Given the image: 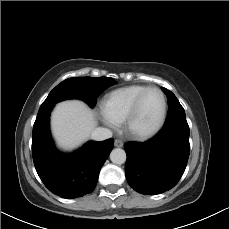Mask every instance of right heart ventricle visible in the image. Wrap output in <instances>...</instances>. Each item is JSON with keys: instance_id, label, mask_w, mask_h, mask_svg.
Returning <instances> with one entry per match:
<instances>
[{"instance_id": "right-heart-ventricle-1", "label": "right heart ventricle", "mask_w": 229, "mask_h": 229, "mask_svg": "<svg viewBox=\"0 0 229 229\" xmlns=\"http://www.w3.org/2000/svg\"><path fill=\"white\" fill-rule=\"evenodd\" d=\"M145 85H130L110 92L102 103L106 115L117 123L125 120L136 97L148 89Z\"/></svg>"}]
</instances>
